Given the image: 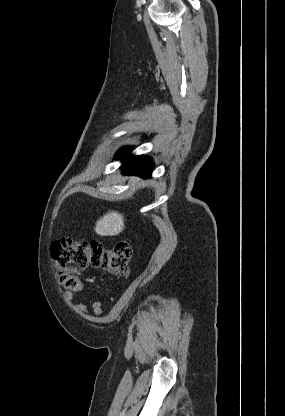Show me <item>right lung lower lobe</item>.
Returning a JSON list of instances; mask_svg holds the SVG:
<instances>
[{"label":"right lung lower lobe","mask_w":285,"mask_h":416,"mask_svg":"<svg viewBox=\"0 0 285 416\" xmlns=\"http://www.w3.org/2000/svg\"><path fill=\"white\" fill-rule=\"evenodd\" d=\"M129 151L130 148L125 147L116 155L117 158H121L123 160V165L121 167L123 174L139 175L144 178H149L154 166L151 158L146 156H135L129 158L127 157Z\"/></svg>","instance_id":"obj_1"}]
</instances>
